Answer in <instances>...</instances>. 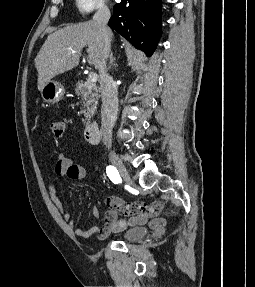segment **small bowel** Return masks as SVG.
Segmentation results:
<instances>
[{
	"label": "small bowel",
	"instance_id": "c3829d8e",
	"mask_svg": "<svg viewBox=\"0 0 255 287\" xmlns=\"http://www.w3.org/2000/svg\"><path fill=\"white\" fill-rule=\"evenodd\" d=\"M55 173L60 177H67L71 180H81L86 175L84 168L75 164L65 153L59 155L55 164ZM49 194L54 206L61 213L63 219L68 222L74 234L81 238H89L96 234L99 238L104 239L110 234L122 232L130 226L144 225L146 223H149V226L157 233H162L167 224L164 218H154L162 211V202L155 201L150 204L127 203L117 197L111 196L106 198L105 201L108 209L104 215V224L83 229L78 226L77 221L65 209L53 184L49 186ZM118 214L123 215L126 219H118ZM98 215V209H94L93 216L98 217Z\"/></svg>",
	"mask_w": 255,
	"mask_h": 287
}]
</instances>
